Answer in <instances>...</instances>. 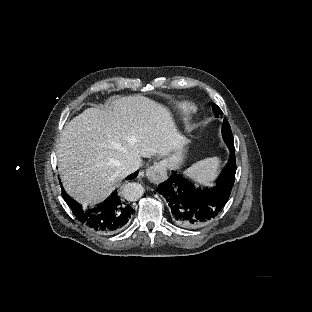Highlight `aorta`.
Instances as JSON below:
<instances>
[{
	"mask_svg": "<svg viewBox=\"0 0 312 312\" xmlns=\"http://www.w3.org/2000/svg\"><path fill=\"white\" fill-rule=\"evenodd\" d=\"M144 188L138 183H129L124 187V197L128 201H136L143 194Z\"/></svg>",
	"mask_w": 312,
	"mask_h": 312,
	"instance_id": "obj_1",
	"label": "aorta"
}]
</instances>
